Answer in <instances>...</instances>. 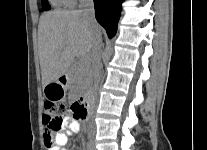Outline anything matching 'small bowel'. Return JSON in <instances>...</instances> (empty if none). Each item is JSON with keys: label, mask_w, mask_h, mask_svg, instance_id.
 <instances>
[{"label": "small bowel", "mask_w": 207, "mask_h": 150, "mask_svg": "<svg viewBox=\"0 0 207 150\" xmlns=\"http://www.w3.org/2000/svg\"><path fill=\"white\" fill-rule=\"evenodd\" d=\"M79 130V123L74 119H66L64 124V131L52 133L50 139V145H47L49 150H67L65 145L68 137L75 134ZM45 143L47 138H44Z\"/></svg>", "instance_id": "small-bowel-1"}]
</instances>
